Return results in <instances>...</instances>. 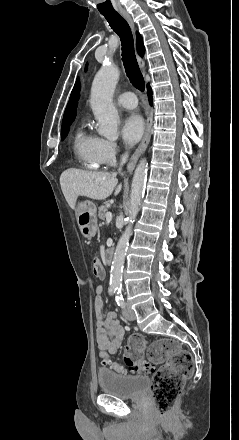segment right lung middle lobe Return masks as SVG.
<instances>
[{
  "mask_svg": "<svg viewBox=\"0 0 239 440\" xmlns=\"http://www.w3.org/2000/svg\"><path fill=\"white\" fill-rule=\"evenodd\" d=\"M70 125H71V123L61 128L62 140H64V138L67 136Z\"/></svg>",
  "mask_w": 239,
  "mask_h": 440,
  "instance_id": "right-lung-middle-lobe-1",
  "label": "right lung middle lobe"
}]
</instances>
